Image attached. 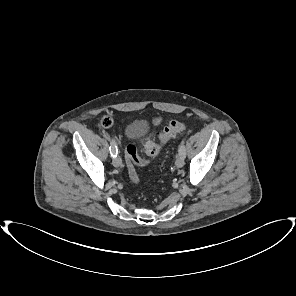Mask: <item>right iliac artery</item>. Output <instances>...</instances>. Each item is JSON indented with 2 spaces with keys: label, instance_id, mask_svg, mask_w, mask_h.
Returning a JSON list of instances; mask_svg holds the SVG:
<instances>
[{
  "label": "right iliac artery",
  "instance_id": "82829eb1",
  "mask_svg": "<svg viewBox=\"0 0 296 296\" xmlns=\"http://www.w3.org/2000/svg\"><path fill=\"white\" fill-rule=\"evenodd\" d=\"M110 144H111L110 154L113 158H115L117 156V151H118L115 140H112Z\"/></svg>",
  "mask_w": 296,
  "mask_h": 296
}]
</instances>
